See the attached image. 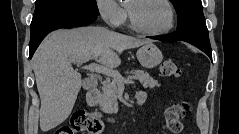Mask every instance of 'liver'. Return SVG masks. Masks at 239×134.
Returning <instances> with one entry per match:
<instances>
[{
    "label": "liver",
    "mask_w": 239,
    "mask_h": 134,
    "mask_svg": "<svg viewBox=\"0 0 239 134\" xmlns=\"http://www.w3.org/2000/svg\"><path fill=\"white\" fill-rule=\"evenodd\" d=\"M150 40L103 27L86 26L49 34L35 52L32 65L41 99L40 128L46 132L71 114L81 88V75L73 63L96 60L108 68L120 65V54Z\"/></svg>",
    "instance_id": "1"
}]
</instances>
